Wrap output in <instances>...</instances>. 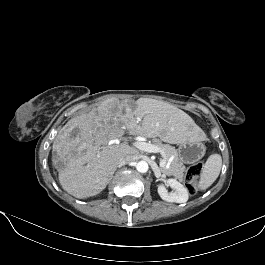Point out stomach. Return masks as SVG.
I'll list each match as a JSON object with an SVG mask.
<instances>
[{"mask_svg": "<svg viewBox=\"0 0 265 265\" xmlns=\"http://www.w3.org/2000/svg\"><path fill=\"white\" fill-rule=\"evenodd\" d=\"M205 153L204 145L197 141H185L178 147L179 160L185 164H193L200 160Z\"/></svg>", "mask_w": 265, "mask_h": 265, "instance_id": "stomach-1", "label": "stomach"}]
</instances>
